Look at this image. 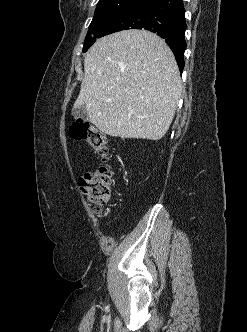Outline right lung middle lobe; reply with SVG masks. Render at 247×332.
<instances>
[{
    "label": "right lung middle lobe",
    "mask_w": 247,
    "mask_h": 332,
    "mask_svg": "<svg viewBox=\"0 0 247 332\" xmlns=\"http://www.w3.org/2000/svg\"><path fill=\"white\" fill-rule=\"evenodd\" d=\"M146 1L148 0H100L88 28L83 52H86L101 37L110 24Z\"/></svg>",
    "instance_id": "right-lung-middle-lobe-1"
}]
</instances>
